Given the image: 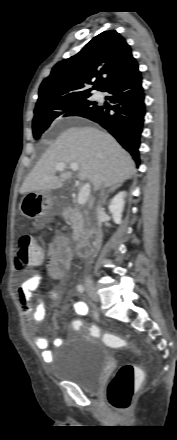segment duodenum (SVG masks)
Wrapping results in <instances>:
<instances>
[{
    "instance_id": "1",
    "label": "duodenum",
    "mask_w": 177,
    "mask_h": 440,
    "mask_svg": "<svg viewBox=\"0 0 177 440\" xmlns=\"http://www.w3.org/2000/svg\"><path fill=\"white\" fill-rule=\"evenodd\" d=\"M101 240V231L98 228L91 229L85 237L79 239L76 243V253L80 257L89 256L95 246Z\"/></svg>"
}]
</instances>
